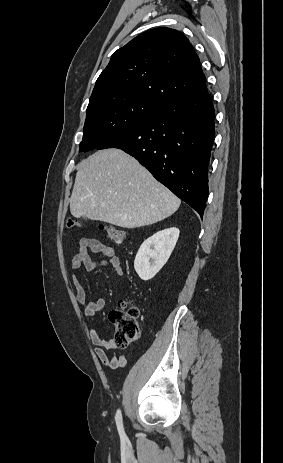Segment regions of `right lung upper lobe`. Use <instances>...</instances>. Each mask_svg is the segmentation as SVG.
<instances>
[{"instance_id": "obj_1", "label": "right lung upper lobe", "mask_w": 283, "mask_h": 463, "mask_svg": "<svg viewBox=\"0 0 283 463\" xmlns=\"http://www.w3.org/2000/svg\"><path fill=\"white\" fill-rule=\"evenodd\" d=\"M128 92L162 106L207 92L205 75L189 40L179 31H146L115 51L100 74L91 99Z\"/></svg>"}]
</instances>
